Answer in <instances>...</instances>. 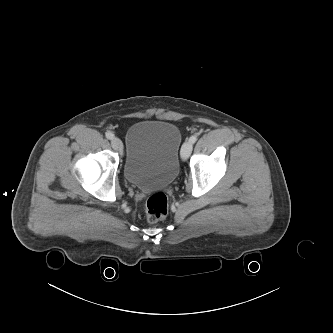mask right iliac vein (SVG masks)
Returning a JSON list of instances; mask_svg holds the SVG:
<instances>
[{
  "mask_svg": "<svg viewBox=\"0 0 333 333\" xmlns=\"http://www.w3.org/2000/svg\"><path fill=\"white\" fill-rule=\"evenodd\" d=\"M111 145L113 147V149H115L116 151H122L123 150V143L122 141L117 138V137H114L112 140H111Z\"/></svg>",
  "mask_w": 333,
  "mask_h": 333,
  "instance_id": "obj_1",
  "label": "right iliac vein"
}]
</instances>
